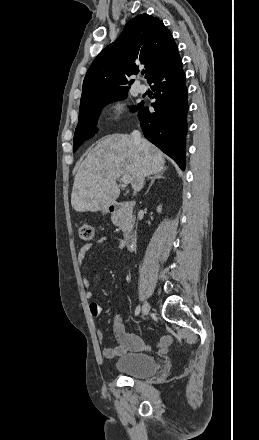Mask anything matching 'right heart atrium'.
<instances>
[{
    "label": "right heart atrium",
    "instance_id": "1",
    "mask_svg": "<svg viewBox=\"0 0 259 440\" xmlns=\"http://www.w3.org/2000/svg\"><path fill=\"white\" fill-rule=\"evenodd\" d=\"M110 123H118L126 112L125 104L121 100H114L110 103Z\"/></svg>",
    "mask_w": 259,
    "mask_h": 440
}]
</instances>
